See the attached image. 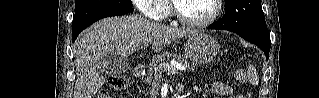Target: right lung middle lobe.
I'll return each instance as SVG.
<instances>
[{
    "label": "right lung middle lobe",
    "instance_id": "1",
    "mask_svg": "<svg viewBox=\"0 0 319 98\" xmlns=\"http://www.w3.org/2000/svg\"><path fill=\"white\" fill-rule=\"evenodd\" d=\"M102 8L132 9L131 0H76L75 14Z\"/></svg>",
    "mask_w": 319,
    "mask_h": 98
}]
</instances>
